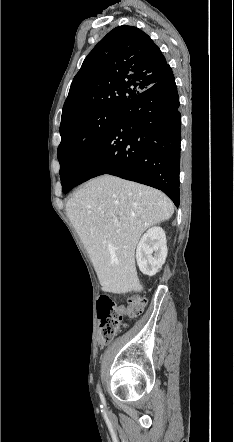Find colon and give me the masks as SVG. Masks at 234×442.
I'll use <instances>...</instances> for the list:
<instances>
[{"label":"colon","mask_w":234,"mask_h":442,"mask_svg":"<svg viewBox=\"0 0 234 442\" xmlns=\"http://www.w3.org/2000/svg\"><path fill=\"white\" fill-rule=\"evenodd\" d=\"M146 306L144 297L135 295L129 298L126 306H117L109 297L98 299L99 344L108 345L117 335L124 317L136 318Z\"/></svg>","instance_id":"1"}]
</instances>
